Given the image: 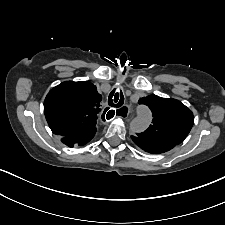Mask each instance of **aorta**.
<instances>
[{"mask_svg": "<svg viewBox=\"0 0 225 225\" xmlns=\"http://www.w3.org/2000/svg\"><path fill=\"white\" fill-rule=\"evenodd\" d=\"M151 113L145 106L137 107V116L130 123L132 132L140 133L146 130L151 123Z\"/></svg>", "mask_w": 225, "mask_h": 225, "instance_id": "762f6f07", "label": "aorta"}]
</instances>
